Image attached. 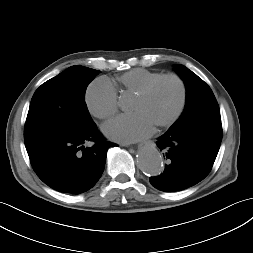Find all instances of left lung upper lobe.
<instances>
[{
	"mask_svg": "<svg viewBox=\"0 0 253 253\" xmlns=\"http://www.w3.org/2000/svg\"><path fill=\"white\" fill-rule=\"evenodd\" d=\"M176 71L186 85V105L172 126L204 120L221 122L219 106L210 87L183 65H176Z\"/></svg>",
	"mask_w": 253,
	"mask_h": 253,
	"instance_id": "1",
	"label": "left lung upper lobe"
}]
</instances>
